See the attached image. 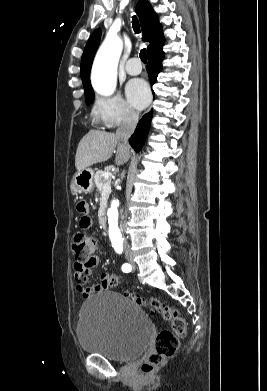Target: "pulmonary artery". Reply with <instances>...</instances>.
<instances>
[{
  "label": "pulmonary artery",
  "mask_w": 267,
  "mask_h": 391,
  "mask_svg": "<svg viewBox=\"0 0 267 391\" xmlns=\"http://www.w3.org/2000/svg\"><path fill=\"white\" fill-rule=\"evenodd\" d=\"M125 70L130 75H138L142 71V66L139 58H130L125 65Z\"/></svg>",
  "instance_id": "1"
}]
</instances>
